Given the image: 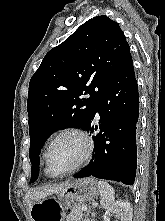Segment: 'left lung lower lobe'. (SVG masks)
<instances>
[{
    "mask_svg": "<svg viewBox=\"0 0 165 221\" xmlns=\"http://www.w3.org/2000/svg\"><path fill=\"white\" fill-rule=\"evenodd\" d=\"M99 124H93L96 113ZM139 117V93L132 57L107 84L84 130H97L95 154L74 178L94 176L126 185L135 181L137 166L136 129Z\"/></svg>",
    "mask_w": 165,
    "mask_h": 221,
    "instance_id": "left-lung-lower-lobe-1",
    "label": "left lung lower lobe"
}]
</instances>
